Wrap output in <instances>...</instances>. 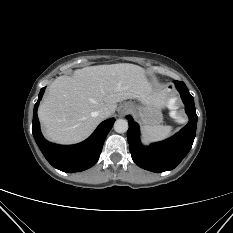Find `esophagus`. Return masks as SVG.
Returning a JSON list of instances; mask_svg holds the SVG:
<instances>
[{
	"mask_svg": "<svg viewBox=\"0 0 233 233\" xmlns=\"http://www.w3.org/2000/svg\"><path fill=\"white\" fill-rule=\"evenodd\" d=\"M127 111H128V108H127V107H122V108L119 110L120 116H124V115L126 114Z\"/></svg>",
	"mask_w": 233,
	"mask_h": 233,
	"instance_id": "obj_1",
	"label": "esophagus"
}]
</instances>
